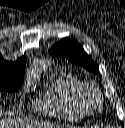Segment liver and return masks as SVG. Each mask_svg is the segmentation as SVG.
<instances>
[{
  "label": "liver",
  "instance_id": "liver-1",
  "mask_svg": "<svg viewBox=\"0 0 125 128\" xmlns=\"http://www.w3.org/2000/svg\"><path fill=\"white\" fill-rule=\"evenodd\" d=\"M7 120L6 119H2L1 116H0V128H5V126H7ZM35 127L37 128H59V126H54V125H51V124H39V123H36L35 124Z\"/></svg>",
  "mask_w": 125,
  "mask_h": 128
}]
</instances>
